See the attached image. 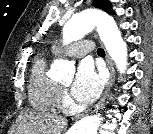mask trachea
Listing matches in <instances>:
<instances>
[{
    "mask_svg": "<svg viewBox=\"0 0 153 134\" xmlns=\"http://www.w3.org/2000/svg\"><path fill=\"white\" fill-rule=\"evenodd\" d=\"M97 54H98L99 56H105V51H104L103 49L99 48V49L97 50Z\"/></svg>",
    "mask_w": 153,
    "mask_h": 134,
    "instance_id": "trachea-1",
    "label": "trachea"
}]
</instances>
